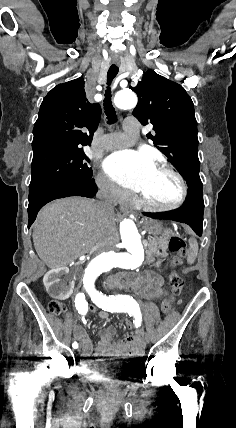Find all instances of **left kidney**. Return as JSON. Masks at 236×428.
Returning <instances> with one entry per match:
<instances>
[{"label": "left kidney", "instance_id": "obj_1", "mask_svg": "<svg viewBox=\"0 0 236 428\" xmlns=\"http://www.w3.org/2000/svg\"><path fill=\"white\" fill-rule=\"evenodd\" d=\"M161 262H156V268H159Z\"/></svg>", "mask_w": 236, "mask_h": 428}]
</instances>
